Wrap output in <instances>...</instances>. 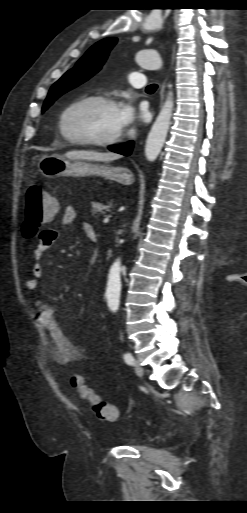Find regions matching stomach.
Listing matches in <instances>:
<instances>
[{
    "instance_id": "0dacf381",
    "label": "stomach",
    "mask_w": 247,
    "mask_h": 513,
    "mask_svg": "<svg viewBox=\"0 0 247 513\" xmlns=\"http://www.w3.org/2000/svg\"><path fill=\"white\" fill-rule=\"evenodd\" d=\"M44 177L57 178L62 176H99L123 185L134 182L132 172L123 167H112L83 160H70L59 155L43 156L38 164Z\"/></svg>"
}]
</instances>
